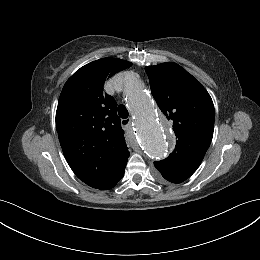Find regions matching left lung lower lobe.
Here are the masks:
<instances>
[{"label":"left lung lower lobe","mask_w":260,"mask_h":260,"mask_svg":"<svg viewBox=\"0 0 260 260\" xmlns=\"http://www.w3.org/2000/svg\"><path fill=\"white\" fill-rule=\"evenodd\" d=\"M162 181H169L171 183H181L185 181L187 178L183 177H176V176H170V175H163L159 176Z\"/></svg>","instance_id":"obj_1"}]
</instances>
